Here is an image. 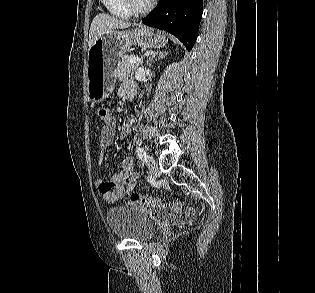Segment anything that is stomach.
<instances>
[{
	"mask_svg": "<svg viewBox=\"0 0 315 293\" xmlns=\"http://www.w3.org/2000/svg\"><path fill=\"white\" fill-rule=\"evenodd\" d=\"M167 43L164 34L138 26L128 31L113 30L99 36L89 47L87 57V95L97 103L113 91L119 60L132 45L142 48H161Z\"/></svg>",
	"mask_w": 315,
	"mask_h": 293,
	"instance_id": "obj_1",
	"label": "stomach"
}]
</instances>
